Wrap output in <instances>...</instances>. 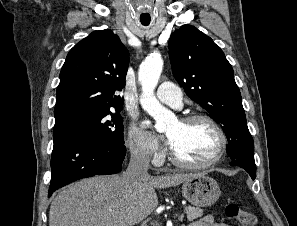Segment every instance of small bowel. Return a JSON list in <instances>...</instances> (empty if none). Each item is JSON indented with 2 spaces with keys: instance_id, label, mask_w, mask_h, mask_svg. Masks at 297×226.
I'll return each mask as SVG.
<instances>
[{
  "instance_id": "obj_1",
  "label": "small bowel",
  "mask_w": 297,
  "mask_h": 226,
  "mask_svg": "<svg viewBox=\"0 0 297 226\" xmlns=\"http://www.w3.org/2000/svg\"><path fill=\"white\" fill-rule=\"evenodd\" d=\"M190 226H230L225 223H216L211 215H205L202 218L198 219Z\"/></svg>"
}]
</instances>
